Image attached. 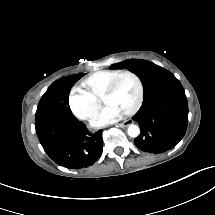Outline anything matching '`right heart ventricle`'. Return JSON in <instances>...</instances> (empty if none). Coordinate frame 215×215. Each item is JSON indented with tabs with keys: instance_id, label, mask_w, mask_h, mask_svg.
I'll list each match as a JSON object with an SVG mask.
<instances>
[{
	"instance_id": "right-heart-ventricle-1",
	"label": "right heart ventricle",
	"mask_w": 215,
	"mask_h": 215,
	"mask_svg": "<svg viewBox=\"0 0 215 215\" xmlns=\"http://www.w3.org/2000/svg\"><path fill=\"white\" fill-rule=\"evenodd\" d=\"M120 72V70H108V71H99L93 75L86 84V89L88 92L93 94H100L105 89L108 88L111 81V74Z\"/></svg>"
}]
</instances>
